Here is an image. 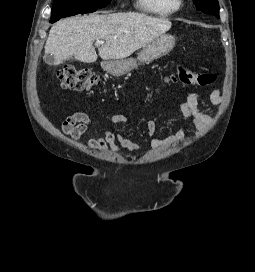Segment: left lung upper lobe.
Returning <instances> with one entry per match:
<instances>
[{
  "mask_svg": "<svg viewBox=\"0 0 255 272\" xmlns=\"http://www.w3.org/2000/svg\"><path fill=\"white\" fill-rule=\"evenodd\" d=\"M197 10L212 14L219 18V4L217 0H193Z\"/></svg>",
  "mask_w": 255,
  "mask_h": 272,
  "instance_id": "5c2ea615",
  "label": "left lung upper lobe"
}]
</instances>
